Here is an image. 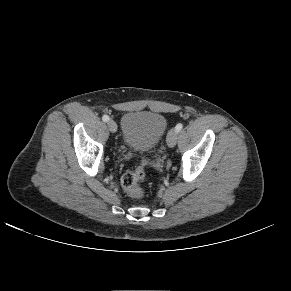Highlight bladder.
I'll use <instances>...</instances> for the list:
<instances>
[{
  "mask_svg": "<svg viewBox=\"0 0 291 291\" xmlns=\"http://www.w3.org/2000/svg\"><path fill=\"white\" fill-rule=\"evenodd\" d=\"M167 128L166 118L150 111H130L121 121L123 144L136 152H148L154 149Z\"/></svg>",
  "mask_w": 291,
  "mask_h": 291,
  "instance_id": "obj_1",
  "label": "bladder"
}]
</instances>
